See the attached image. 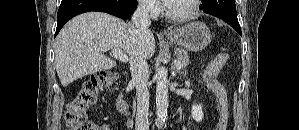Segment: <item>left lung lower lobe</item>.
Segmentation results:
<instances>
[{"mask_svg": "<svg viewBox=\"0 0 299 130\" xmlns=\"http://www.w3.org/2000/svg\"><path fill=\"white\" fill-rule=\"evenodd\" d=\"M201 9L205 13L221 18L242 36L234 0H203Z\"/></svg>", "mask_w": 299, "mask_h": 130, "instance_id": "obj_1", "label": "left lung lower lobe"}]
</instances>
